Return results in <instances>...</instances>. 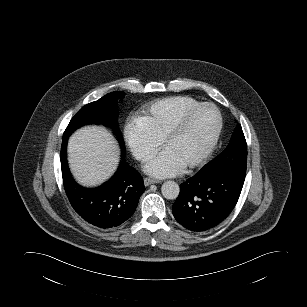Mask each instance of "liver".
I'll return each instance as SVG.
<instances>
[{
    "instance_id": "6515ba94",
    "label": "liver",
    "mask_w": 307,
    "mask_h": 307,
    "mask_svg": "<svg viewBox=\"0 0 307 307\" xmlns=\"http://www.w3.org/2000/svg\"><path fill=\"white\" fill-rule=\"evenodd\" d=\"M119 155L117 141L103 127L86 126L69 138V166L80 184L95 186L104 182L116 170Z\"/></svg>"
}]
</instances>
